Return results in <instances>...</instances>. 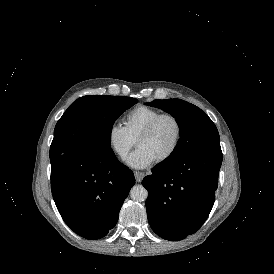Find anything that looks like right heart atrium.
<instances>
[{
    "label": "right heart atrium",
    "mask_w": 274,
    "mask_h": 274,
    "mask_svg": "<svg viewBox=\"0 0 274 274\" xmlns=\"http://www.w3.org/2000/svg\"><path fill=\"white\" fill-rule=\"evenodd\" d=\"M107 143L109 148L119 157H124L133 147L135 141L126 132L124 126L112 123L107 129Z\"/></svg>",
    "instance_id": "obj_1"
}]
</instances>
